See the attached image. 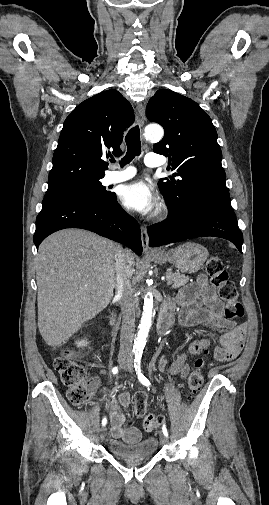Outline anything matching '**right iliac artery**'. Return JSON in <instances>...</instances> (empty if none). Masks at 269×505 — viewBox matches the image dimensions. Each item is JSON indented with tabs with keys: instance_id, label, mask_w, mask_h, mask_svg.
<instances>
[{
	"instance_id": "82829eb1",
	"label": "right iliac artery",
	"mask_w": 269,
	"mask_h": 505,
	"mask_svg": "<svg viewBox=\"0 0 269 505\" xmlns=\"http://www.w3.org/2000/svg\"><path fill=\"white\" fill-rule=\"evenodd\" d=\"M112 373L113 374H117L118 373V367L117 366H115V367L112 368ZM106 423H107V418L104 417L103 420H102V426H105Z\"/></svg>"
}]
</instances>
